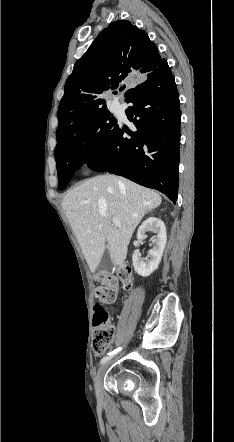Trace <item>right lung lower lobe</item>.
Wrapping results in <instances>:
<instances>
[{
    "instance_id": "right-lung-lower-lobe-1",
    "label": "right lung lower lobe",
    "mask_w": 234,
    "mask_h": 442,
    "mask_svg": "<svg viewBox=\"0 0 234 442\" xmlns=\"http://www.w3.org/2000/svg\"><path fill=\"white\" fill-rule=\"evenodd\" d=\"M125 101L131 103L125 113L136 129L131 131L117 123L107 143L87 163L95 171H107L156 189L175 203L181 113L168 64L137 85Z\"/></svg>"
}]
</instances>
